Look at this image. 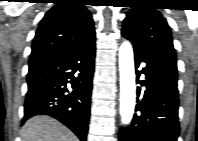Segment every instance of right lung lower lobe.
<instances>
[{
  "mask_svg": "<svg viewBox=\"0 0 198 141\" xmlns=\"http://www.w3.org/2000/svg\"><path fill=\"white\" fill-rule=\"evenodd\" d=\"M94 58L95 32L68 50L29 64L23 122L35 115H50L85 141Z\"/></svg>",
  "mask_w": 198,
  "mask_h": 141,
  "instance_id": "obj_1",
  "label": "right lung lower lobe"
}]
</instances>
